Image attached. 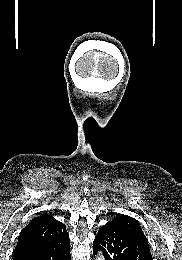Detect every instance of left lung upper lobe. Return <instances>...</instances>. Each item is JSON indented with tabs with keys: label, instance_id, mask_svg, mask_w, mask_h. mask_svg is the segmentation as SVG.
<instances>
[{
	"label": "left lung upper lobe",
	"instance_id": "left-lung-upper-lobe-1",
	"mask_svg": "<svg viewBox=\"0 0 182 260\" xmlns=\"http://www.w3.org/2000/svg\"><path fill=\"white\" fill-rule=\"evenodd\" d=\"M104 226L117 228L121 231L130 233L142 240L147 241V238L141 230L140 224L130 216L121 215L119 217L114 218L112 221H110Z\"/></svg>",
	"mask_w": 182,
	"mask_h": 260
}]
</instances>
